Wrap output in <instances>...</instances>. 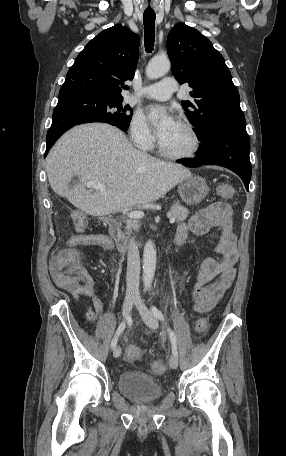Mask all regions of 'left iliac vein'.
I'll return each mask as SVG.
<instances>
[{"label": "left iliac vein", "instance_id": "left-iliac-vein-1", "mask_svg": "<svg viewBox=\"0 0 286 456\" xmlns=\"http://www.w3.org/2000/svg\"><path fill=\"white\" fill-rule=\"evenodd\" d=\"M136 307L138 308L144 322L146 325L153 329L156 330L159 326L157 318L154 316V314L146 307L144 304L143 300L141 298H137ZM169 365L172 369H177L178 367V359L175 356H172L169 360Z\"/></svg>", "mask_w": 286, "mask_h": 456}]
</instances>
